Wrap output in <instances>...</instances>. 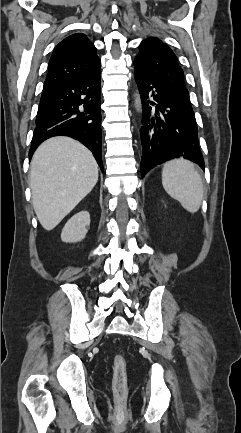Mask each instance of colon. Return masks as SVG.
<instances>
[{"instance_id":"obj_1","label":"colon","mask_w":241,"mask_h":433,"mask_svg":"<svg viewBox=\"0 0 241 433\" xmlns=\"http://www.w3.org/2000/svg\"><path fill=\"white\" fill-rule=\"evenodd\" d=\"M113 390L120 401L127 395V363L121 354H116L113 360Z\"/></svg>"}]
</instances>
